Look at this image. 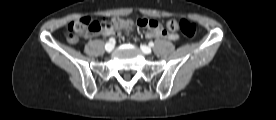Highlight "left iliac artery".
I'll return each mask as SVG.
<instances>
[{"label": "left iliac artery", "instance_id": "obj_1", "mask_svg": "<svg viewBox=\"0 0 276 120\" xmlns=\"http://www.w3.org/2000/svg\"><path fill=\"white\" fill-rule=\"evenodd\" d=\"M149 46L150 47H153L154 46V43L151 41V42H149Z\"/></svg>", "mask_w": 276, "mask_h": 120}]
</instances>
